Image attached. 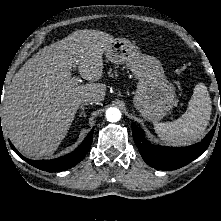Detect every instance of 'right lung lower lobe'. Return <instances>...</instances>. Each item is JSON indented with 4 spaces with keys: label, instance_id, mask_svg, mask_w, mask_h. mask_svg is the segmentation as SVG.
Instances as JSON below:
<instances>
[{
    "label": "right lung lower lobe",
    "instance_id": "right-lung-lower-lobe-1",
    "mask_svg": "<svg viewBox=\"0 0 221 221\" xmlns=\"http://www.w3.org/2000/svg\"><path fill=\"white\" fill-rule=\"evenodd\" d=\"M0 127H1V118H0ZM93 131L92 129L85 140L81 143L78 148H76L73 152L62 156L60 158L52 159V160H30L23 157L14 146L10 143L11 148L16 151L19 157H21L23 160H25L27 163L31 164L32 166L48 171V172H60L63 170H67L71 167H74L77 163H79L86 155V153L89 151L92 139H93Z\"/></svg>",
    "mask_w": 221,
    "mask_h": 221
}]
</instances>
